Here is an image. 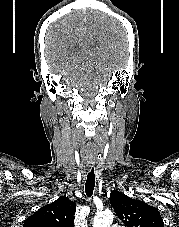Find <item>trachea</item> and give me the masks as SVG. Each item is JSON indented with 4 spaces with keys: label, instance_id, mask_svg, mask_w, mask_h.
Segmentation results:
<instances>
[{
    "label": "trachea",
    "instance_id": "1",
    "mask_svg": "<svg viewBox=\"0 0 179 227\" xmlns=\"http://www.w3.org/2000/svg\"><path fill=\"white\" fill-rule=\"evenodd\" d=\"M95 187V174L94 167L91 168L90 172L87 175L86 183H85V193L87 197H91Z\"/></svg>",
    "mask_w": 179,
    "mask_h": 227
}]
</instances>
